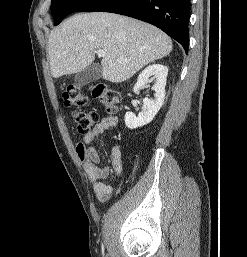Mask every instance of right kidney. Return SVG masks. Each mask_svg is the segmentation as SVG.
I'll list each match as a JSON object with an SVG mask.
<instances>
[{
    "label": "right kidney",
    "instance_id": "1",
    "mask_svg": "<svg viewBox=\"0 0 247 257\" xmlns=\"http://www.w3.org/2000/svg\"><path fill=\"white\" fill-rule=\"evenodd\" d=\"M168 75V68L162 64H153L145 68L138 76L133 91L139 94V90L148 82L150 77H155L154 85L155 99H144L143 110L135 116L133 112L125 114V124L129 129H135L149 124L163 105L165 98V86Z\"/></svg>",
    "mask_w": 247,
    "mask_h": 257
}]
</instances>
